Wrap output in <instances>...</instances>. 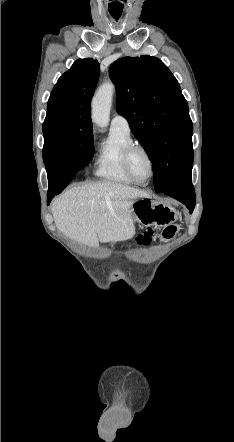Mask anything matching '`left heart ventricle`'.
Listing matches in <instances>:
<instances>
[{
  "label": "left heart ventricle",
  "mask_w": 234,
  "mask_h": 442,
  "mask_svg": "<svg viewBox=\"0 0 234 442\" xmlns=\"http://www.w3.org/2000/svg\"><path fill=\"white\" fill-rule=\"evenodd\" d=\"M130 167L135 177L145 182L151 175V166L147 155L140 149H136L130 156Z\"/></svg>",
  "instance_id": "left-heart-ventricle-1"
}]
</instances>
